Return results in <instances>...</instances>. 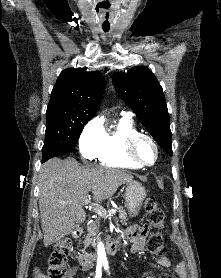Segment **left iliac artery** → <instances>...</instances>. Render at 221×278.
Returning a JSON list of instances; mask_svg holds the SVG:
<instances>
[{
    "label": "left iliac artery",
    "mask_w": 221,
    "mask_h": 278,
    "mask_svg": "<svg viewBox=\"0 0 221 278\" xmlns=\"http://www.w3.org/2000/svg\"><path fill=\"white\" fill-rule=\"evenodd\" d=\"M104 268H105V270H108V263L107 262L104 263Z\"/></svg>",
    "instance_id": "left-iliac-artery-1"
}]
</instances>
